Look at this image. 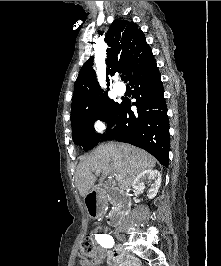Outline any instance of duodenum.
I'll use <instances>...</instances> for the list:
<instances>
[{"instance_id": "410a0bca", "label": "duodenum", "mask_w": 221, "mask_h": 266, "mask_svg": "<svg viewBox=\"0 0 221 266\" xmlns=\"http://www.w3.org/2000/svg\"><path fill=\"white\" fill-rule=\"evenodd\" d=\"M108 194L119 205L108 212L107 222L110 226H118L129 210L128 201L119 191H108L104 185H98L95 189H88L85 201L86 210L88 216H101L102 206H105V201L103 200Z\"/></svg>"}]
</instances>
